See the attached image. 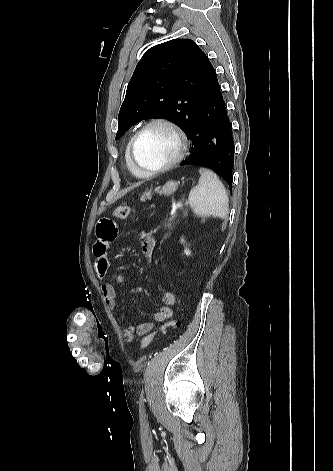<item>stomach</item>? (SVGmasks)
<instances>
[{
  "instance_id": "0dacf381",
  "label": "stomach",
  "mask_w": 333,
  "mask_h": 471,
  "mask_svg": "<svg viewBox=\"0 0 333 471\" xmlns=\"http://www.w3.org/2000/svg\"><path fill=\"white\" fill-rule=\"evenodd\" d=\"M178 187V183L174 181H168L163 187L155 189V192L160 193L162 195H171ZM152 198V191L149 190L143 193L140 197L141 201H146L147 199Z\"/></svg>"
}]
</instances>
